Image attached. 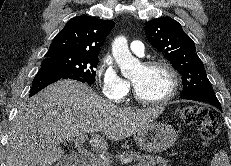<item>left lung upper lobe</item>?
<instances>
[{
    "instance_id": "1",
    "label": "left lung upper lobe",
    "mask_w": 231,
    "mask_h": 166,
    "mask_svg": "<svg viewBox=\"0 0 231 166\" xmlns=\"http://www.w3.org/2000/svg\"><path fill=\"white\" fill-rule=\"evenodd\" d=\"M145 34L150 44L182 75V98L215 95L193 40L177 21L161 17L145 22Z\"/></svg>"
}]
</instances>
